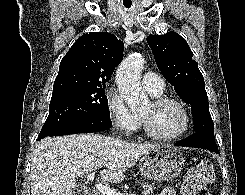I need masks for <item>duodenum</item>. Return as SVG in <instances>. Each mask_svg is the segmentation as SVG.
Instances as JSON below:
<instances>
[{"instance_id": "1", "label": "duodenum", "mask_w": 245, "mask_h": 195, "mask_svg": "<svg viewBox=\"0 0 245 195\" xmlns=\"http://www.w3.org/2000/svg\"><path fill=\"white\" fill-rule=\"evenodd\" d=\"M88 195H98V193H96V192H90V193H88Z\"/></svg>"}]
</instances>
